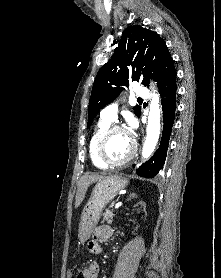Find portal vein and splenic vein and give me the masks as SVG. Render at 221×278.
Masks as SVG:
<instances>
[{"label": "portal vein and splenic vein", "mask_w": 221, "mask_h": 278, "mask_svg": "<svg viewBox=\"0 0 221 278\" xmlns=\"http://www.w3.org/2000/svg\"><path fill=\"white\" fill-rule=\"evenodd\" d=\"M121 205H122V203H117V204L115 205V209H118Z\"/></svg>", "instance_id": "portal-vein-and-splenic-vein-1"}]
</instances>
